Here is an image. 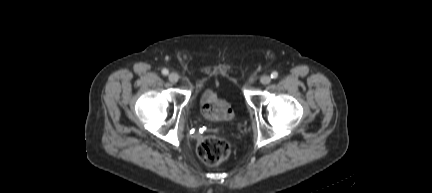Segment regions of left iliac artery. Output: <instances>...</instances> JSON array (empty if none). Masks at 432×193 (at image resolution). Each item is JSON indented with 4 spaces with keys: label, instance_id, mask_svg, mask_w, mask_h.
<instances>
[{
    "label": "left iliac artery",
    "instance_id": "1",
    "mask_svg": "<svg viewBox=\"0 0 432 193\" xmlns=\"http://www.w3.org/2000/svg\"><path fill=\"white\" fill-rule=\"evenodd\" d=\"M278 77V73L276 71L271 73V78L276 79Z\"/></svg>",
    "mask_w": 432,
    "mask_h": 193
}]
</instances>
